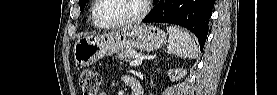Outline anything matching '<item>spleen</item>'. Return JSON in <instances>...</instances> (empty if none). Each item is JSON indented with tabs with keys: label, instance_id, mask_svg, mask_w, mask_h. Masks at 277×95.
Instances as JSON below:
<instances>
[{
	"label": "spleen",
	"instance_id": "3e777b00",
	"mask_svg": "<svg viewBox=\"0 0 277 95\" xmlns=\"http://www.w3.org/2000/svg\"><path fill=\"white\" fill-rule=\"evenodd\" d=\"M169 36L167 50L181 58H195L197 46L189 33L176 26L167 27Z\"/></svg>",
	"mask_w": 277,
	"mask_h": 95
}]
</instances>
